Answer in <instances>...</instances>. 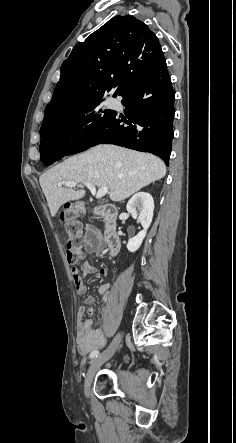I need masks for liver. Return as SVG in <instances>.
Segmentation results:
<instances>
[{
    "label": "liver",
    "instance_id": "1",
    "mask_svg": "<svg viewBox=\"0 0 236 443\" xmlns=\"http://www.w3.org/2000/svg\"><path fill=\"white\" fill-rule=\"evenodd\" d=\"M165 174L164 162L152 154L101 144L51 168L40 176L39 182L50 213L55 216L60 206L85 196L83 189L75 191L59 186L62 181L108 187L110 199L118 202Z\"/></svg>",
    "mask_w": 236,
    "mask_h": 443
}]
</instances>
